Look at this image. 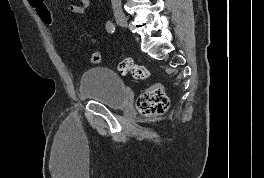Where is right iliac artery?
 <instances>
[{
  "mask_svg": "<svg viewBox=\"0 0 264 178\" xmlns=\"http://www.w3.org/2000/svg\"><path fill=\"white\" fill-rule=\"evenodd\" d=\"M106 30L109 32V33H114L115 32V25L111 22V21H107L106 23Z\"/></svg>",
  "mask_w": 264,
  "mask_h": 178,
  "instance_id": "1",
  "label": "right iliac artery"
}]
</instances>
